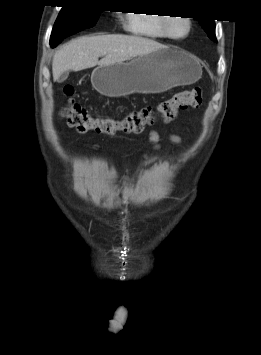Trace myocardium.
<instances>
[{
    "label": "myocardium",
    "instance_id": "1",
    "mask_svg": "<svg viewBox=\"0 0 261 355\" xmlns=\"http://www.w3.org/2000/svg\"><path fill=\"white\" fill-rule=\"evenodd\" d=\"M174 19H175V17H165L163 20V28H164L166 36L170 39H173V40H183V39L187 38L190 35L191 29H192L191 19H189V17H181L180 18V19L184 20L187 25L186 33L181 36H176L171 31V24Z\"/></svg>",
    "mask_w": 261,
    "mask_h": 355
}]
</instances>
